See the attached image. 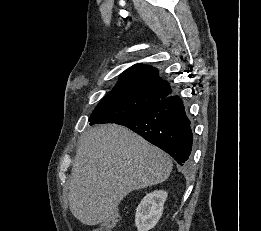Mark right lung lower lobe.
<instances>
[{
    "mask_svg": "<svg viewBox=\"0 0 261 231\" xmlns=\"http://www.w3.org/2000/svg\"><path fill=\"white\" fill-rule=\"evenodd\" d=\"M170 154L180 165L190 161L193 133L182 99L168 96L146 110L116 122Z\"/></svg>",
    "mask_w": 261,
    "mask_h": 231,
    "instance_id": "right-lung-lower-lobe-1",
    "label": "right lung lower lobe"
}]
</instances>
